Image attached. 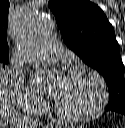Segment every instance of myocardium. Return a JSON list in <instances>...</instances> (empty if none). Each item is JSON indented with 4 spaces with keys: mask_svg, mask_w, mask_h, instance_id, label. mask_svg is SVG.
Returning <instances> with one entry per match:
<instances>
[{
    "mask_svg": "<svg viewBox=\"0 0 125 128\" xmlns=\"http://www.w3.org/2000/svg\"><path fill=\"white\" fill-rule=\"evenodd\" d=\"M79 73H86L97 81L99 90H100L99 99L94 107L86 111L78 112V113L68 112V111L63 110L60 107V105L55 101L54 109H55L56 114L59 117L65 120H68V121L76 122V121H83V120L91 119L95 117L96 115H98L103 110V108L106 106L107 101H108L109 94H108L107 84L99 72H97L96 70L88 66L77 65V66L70 68L67 71L66 75H73V74H79Z\"/></svg>",
    "mask_w": 125,
    "mask_h": 128,
    "instance_id": "myocardium-1",
    "label": "myocardium"
}]
</instances>
